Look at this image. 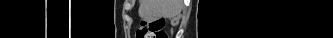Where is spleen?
<instances>
[{
    "label": "spleen",
    "instance_id": "obj_1",
    "mask_svg": "<svg viewBox=\"0 0 333 38\" xmlns=\"http://www.w3.org/2000/svg\"><path fill=\"white\" fill-rule=\"evenodd\" d=\"M167 11L166 10H162V14L166 15Z\"/></svg>",
    "mask_w": 333,
    "mask_h": 38
}]
</instances>
